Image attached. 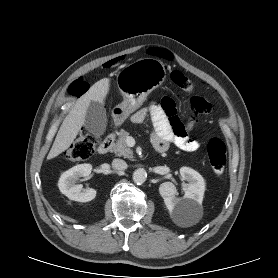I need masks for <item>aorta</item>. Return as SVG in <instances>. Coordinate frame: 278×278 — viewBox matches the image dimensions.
I'll return each mask as SVG.
<instances>
[{
    "label": "aorta",
    "mask_w": 278,
    "mask_h": 278,
    "mask_svg": "<svg viewBox=\"0 0 278 278\" xmlns=\"http://www.w3.org/2000/svg\"><path fill=\"white\" fill-rule=\"evenodd\" d=\"M133 181L136 184H143L147 179V173L143 168H138L133 173Z\"/></svg>",
    "instance_id": "1"
}]
</instances>
